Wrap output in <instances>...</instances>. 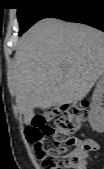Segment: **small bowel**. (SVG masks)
<instances>
[{"mask_svg":"<svg viewBox=\"0 0 104 169\" xmlns=\"http://www.w3.org/2000/svg\"><path fill=\"white\" fill-rule=\"evenodd\" d=\"M90 142H91L92 145H93V150H96V149L99 148V145H98L96 142H94V141H90ZM81 155H82L85 159H87V158L89 157V152H81ZM84 169H85V167H84Z\"/></svg>","mask_w":104,"mask_h":169,"instance_id":"small-bowel-1","label":"small bowel"}]
</instances>
